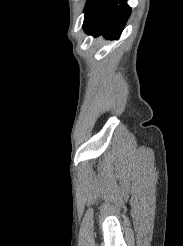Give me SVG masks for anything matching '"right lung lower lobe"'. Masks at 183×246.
I'll list each match as a JSON object with an SVG mask.
<instances>
[{
  "instance_id": "98d812e1",
  "label": "right lung lower lobe",
  "mask_w": 183,
  "mask_h": 246,
  "mask_svg": "<svg viewBox=\"0 0 183 246\" xmlns=\"http://www.w3.org/2000/svg\"><path fill=\"white\" fill-rule=\"evenodd\" d=\"M83 28L87 34L119 38L131 14L126 0H88L84 9Z\"/></svg>"
}]
</instances>
